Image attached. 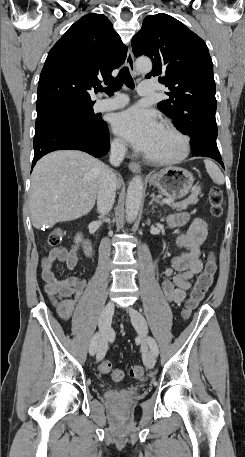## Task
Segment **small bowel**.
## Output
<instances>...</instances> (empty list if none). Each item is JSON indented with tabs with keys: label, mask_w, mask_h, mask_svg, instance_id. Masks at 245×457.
<instances>
[{
	"label": "small bowel",
	"mask_w": 245,
	"mask_h": 457,
	"mask_svg": "<svg viewBox=\"0 0 245 457\" xmlns=\"http://www.w3.org/2000/svg\"><path fill=\"white\" fill-rule=\"evenodd\" d=\"M167 222L171 227L188 225L187 231L177 238V245L186 251L173 258L171 265L162 272L163 294L168 302L178 304L184 301L186 292L191 287L190 280L202 269L200 248L207 236V225L203 219H191L187 213L170 215ZM58 262H64L69 270H74L77 266L75 249L54 248L41 261V278L45 292L60 318L70 320L86 287V281L78 277L58 280L56 278ZM73 333L78 343L84 347L86 344L84 332L79 327H75Z\"/></svg>",
	"instance_id": "small-bowel-1"
}]
</instances>
